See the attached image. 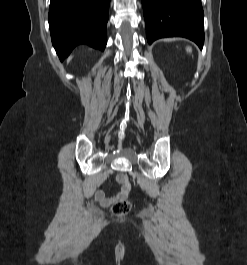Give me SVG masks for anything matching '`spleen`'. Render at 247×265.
Listing matches in <instances>:
<instances>
[{
    "label": "spleen",
    "mask_w": 247,
    "mask_h": 265,
    "mask_svg": "<svg viewBox=\"0 0 247 265\" xmlns=\"http://www.w3.org/2000/svg\"><path fill=\"white\" fill-rule=\"evenodd\" d=\"M192 49L190 47L187 48V52H191Z\"/></svg>",
    "instance_id": "1"
}]
</instances>
